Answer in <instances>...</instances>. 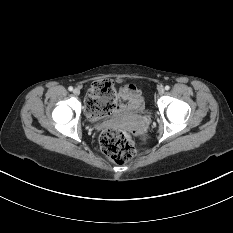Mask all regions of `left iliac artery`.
Listing matches in <instances>:
<instances>
[{"instance_id":"left-iliac-artery-1","label":"left iliac artery","mask_w":233,"mask_h":233,"mask_svg":"<svg viewBox=\"0 0 233 233\" xmlns=\"http://www.w3.org/2000/svg\"><path fill=\"white\" fill-rule=\"evenodd\" d=\"M170 87L168 85L165 86V90H169Z\"/></svg>"}]
</instances>
